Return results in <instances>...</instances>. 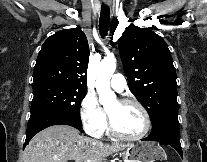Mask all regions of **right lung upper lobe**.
I'll list each match as a JSON object with an SVG mask.
<instances>
[{"label": "right lung upper lobe", "mask_w": 207, "mask_h": 162, "mask_svg": "<svg viewBox=\"0 0 207 162\" xmlns=\"http://www.w3.org/2000/svg\"><path fill=\"white\" fill-rule=\"evenodd\" d=\"M89 46L80 28L64 29L42 45L33 73V88L60 85L86 90Z\"/></svg>", "instance_id": "1"}]
</instances>
